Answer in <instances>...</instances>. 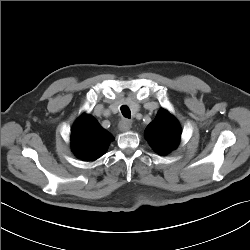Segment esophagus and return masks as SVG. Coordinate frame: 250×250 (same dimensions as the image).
<instances>
[{
	"label": "esophagus",
	"mask_w": 250,
	"mask_h": 250,
	"mask_svg": "<svg viewBox=\"0 0 250 250\" xmlns=\"http://www.w3.org/2000/svg\"><path fill=\"white\" fill-rule=\"evenodd\" d=\"M132 127V121L129 119H122L119 123V129L122 132L129 131Z\"/></svg>",
	"instance_id": "1"
}]
</instances>
